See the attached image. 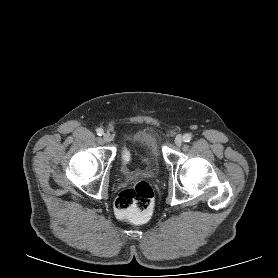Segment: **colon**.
Returning <instances> with one entry per match:
<instances>
[{"label":"colon","mask_w":278,"mask_h":278,"mask_svg":"<svg viewBox=\"0 0 278 278\" xmlns=\"http://www.w3.org/2000/svg\"><path fill=\"white\" fill-rule=\"evenodd\" d=\"M117 216L134 224L148 221L154 207V191L146 181H137L123 190L115 200Z\"/></svg>","instance_id":"colon-1"}]
</instances>
